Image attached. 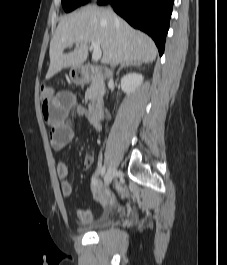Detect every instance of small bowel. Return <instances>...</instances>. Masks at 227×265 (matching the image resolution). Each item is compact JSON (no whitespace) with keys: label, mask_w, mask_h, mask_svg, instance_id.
I'll return each mask as SVG.
<instances>
[{"label":"small bowel","mask_w":227,"mask_h":265,"mask_svg":"<svg viewBox=\"0 0 227 265\" xmlns=\"http://www.w3.org/2000/svg\"><path fill=\"white\" fill-rule=\"evenodd\" d=\"M73 104H77L75 96H71V91H60L51 102H42V113L45 121L50 126V142L55 150H61L74 138V130L68 122V113ZM76 113L85 117L93 125L96 132L101 133L102 126L83 106H76ZM93 163V158L87 156L84 160V168L88 169ZM58 179L60 181L61 192L68 197L72 194V185L68 180L69 168L65 162H59L56 167ZM91 190L95 200L106 205L107 199L101 194L99 172H96L91 180ZM77 216L84 224L94 222L93 213L87 209H78Z\"/></svg>","instance_id":"small-bowel-1"}]
</instances>
